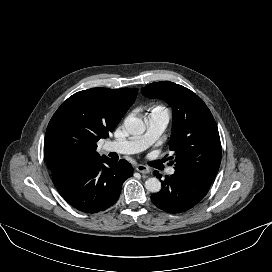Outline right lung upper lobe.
<instances>
[{
    "label": "right lung upper lobe",
    "instance_id": "obj_1",
    "mask_svg": "<svg viewBox=\"0 0 272 272\" xmlns=\"http://www.w3.org/2000/svg\"><path fill=\"white\" fill-rule=\"evenodd\" d=\"M137 89L92 88L70 96L46 130L44 156L52 174L84 166L100 155L96 142L109 137L136 99Z\"/></svg>",
    "mask_w": 272,
    "mask_h": 272
}]
</instances>
